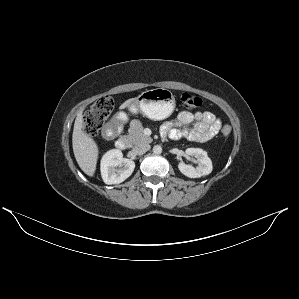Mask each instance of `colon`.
Segmentation results:
<instances>
[{
    "label": "colon",
    "instance_id": "colon-1",
    "mask_svg": "<svg viewBox=\"0 0 299 299\" xmlns=\"http://www.w3.org/2000/svg\"><path fill=\"white\" fill-rule=\"evenodd\" d=\"M181 104L187 109H197L202 106L203 101L200 97L190 93H183L180 97ZM114 109L113 98L109 95L102 96L96 100L84 114V131L89 136L97 135L106 119L111 115ZM223 136L231 133L229 125H223L221 128Z\"/></svg>",
    "mask_w": 299,
    "mask_h": 299
}]
</instances>
